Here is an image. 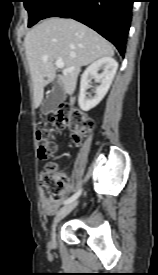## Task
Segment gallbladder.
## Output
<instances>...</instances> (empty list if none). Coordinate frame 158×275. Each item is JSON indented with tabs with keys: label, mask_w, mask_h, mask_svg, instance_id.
Instances as JSON below:
<instances>
[{
	"label": "gallbladder",
	"mask_w": 158,
	"mask_h": 275,
	"mask_svg": "<svg viewBox=\"0 0 158 275\" xmlns=\"http://www.w3.org/2000/svg\"><path fill=\"white\" fill-rule=\"evenodd\" d=\"M64 100H65V92L56 79L52 83V91L42 103V107H41L42 114L47 115L51 112H54L57 109V107L61 103H63Z\"/></svg>",
	"instance_id": "obj_1"
}]
</instances>
